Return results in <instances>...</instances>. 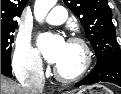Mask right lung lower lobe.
<instances>
[{"label":"right lung lower lobe","mask_w":121,"mask_h":94,"mask_svg":"<svg viewBox=\"0 0 121 94\" xmlns=\"http://www.w3.org/2000/svg\"><path fill=\"white\" fill-rule=\"evenodd\" d=\"M1 74L12 76L11 60L9 58H1Z\"/></svg>","instance_id":"98d812e1"}]
</instances>
